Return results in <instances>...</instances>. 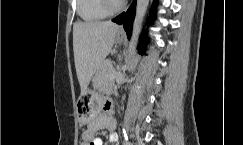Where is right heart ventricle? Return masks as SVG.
Here are the masks:
<instances>
[{"label":"right heart ventricle","instance_id":"1","mask_svg":"<svg viewBox=\"0 0 243 145\" xmlns=\"http://www.w3.org/2000/svg\"><path fill=\"white\" fill-rule=\"evenodd\" d=\"M76 10L80 19L87 23L98 22L109 15L100 0H76Z\"/></svg>","mask_w":243,"mask_h":145}]
</instances>
